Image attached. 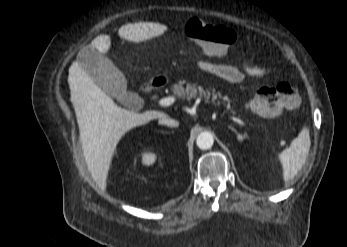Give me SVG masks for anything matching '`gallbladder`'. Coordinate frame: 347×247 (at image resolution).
I'll use <instances>...</instances> for the list:
<instances>
[{"instance_id":"bac80fb5","label":"gallbladder","mask_w":347,"mask_h":247,"mask_svg":"<svg viewBox=\"0 0 347 247\" xmlns=\"http://www.w3.org/2000/svg\"><path fill=\"white\" fill-rule=\"evenodd\" d=\"M77 60L106 94L129 109L137 106L139 96L127 91V81L123 73L108 58L92 48H85L78 53Z\"/></svg>"}]
</instances>
